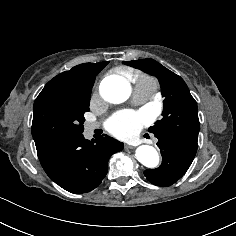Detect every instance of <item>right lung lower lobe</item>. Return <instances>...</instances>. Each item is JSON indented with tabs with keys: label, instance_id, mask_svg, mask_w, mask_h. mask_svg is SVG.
<instances>
[{
	"label": "right lung lower lobe",
	"instance_id": "98d812e1",
	"mask_svg": "<svg viewBox=\"0 0 236 236\" xmlns=\"http://www.w3.org/2000/svg\"><path fill=\"white\" fill-rule=\"evenodd\" d=\"M35 144L47 175L74 194L96 188L107 173L109 158L124 146L107 135L89 141L82 134L54 137Z\"/></svg>",
	"mask_w": 236,
	"mask_h": 236
}]
</instances>
